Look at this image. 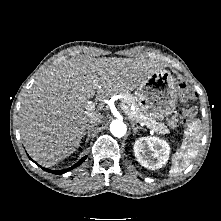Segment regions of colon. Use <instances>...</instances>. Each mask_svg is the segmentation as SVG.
Masks as SVG:
<instances>
[{
	"instance_id": "5ec220e1",
	"label": "colon",
	"mask_w": 221,
	"mask_h": 221,
	"mask_svg": "<svg viewBox=\"0 0 221 221\" xmlns=\"http://www.w3.org/2000/svg\"><path fill=\"white\" fill-rule=\"evenodd\" d=\"M180 94H181L182 99L184 100H188L192 97V94L189 88L184 83L180 84ZM195 114H196V110L193 107H187V108L182 109L180 111L182 123L184 125H187L194 118Z\"/></svg>"
}]
</instances>
